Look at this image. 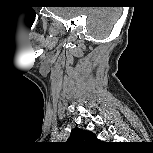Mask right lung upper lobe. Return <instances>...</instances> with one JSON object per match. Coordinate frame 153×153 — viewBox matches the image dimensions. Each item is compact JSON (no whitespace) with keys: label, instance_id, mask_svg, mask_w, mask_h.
Segmentation results:
<instances>
[{"label":"right lung upper lobe","instance_id":"right-lung-upper-lobe-1","mask_svg":"<svg viewBox=\"0 0 153 153\" xmlns=\"http://www.w3.org/2000/svg\"><path fill=\"white\" fill-rule=\"evenodd\" d=\"M68 141L77 144H92L98 141L96 135L90 131H86L80 128H74L71 132Z\"/></svg>","mask_w":153,"mask_h":153}]
</instances>
